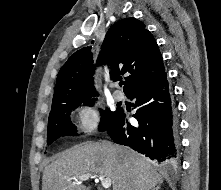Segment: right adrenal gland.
Returning <instances> with one entry per match:
<instances>
[{"label":"right adrenal gland","mask_w":221,"mask_h":190,"mask_svg":"<svg viewBox=\"0 0 221 190\" xmlns=\"http://www.w3.org/2000/svg\"><path fill=\"white\" fill-rule=\"evenodd\" d=\"M160 186H157L156 188H154L153 190H159Z\"/></svg>","instance_id":"right-adrenal-gland-1"}]
</instances>
